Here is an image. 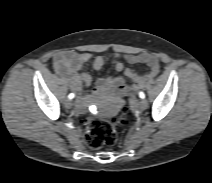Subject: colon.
Listing matches in <instances>:
<instances>
[{"label": "colon", "instance_id": "1", "mask_svg": "<svg viewBox=\"0 0 212 183\" xmlns=\"http://www.w3.org/2000/svg\"><path fill=\"white\" fill-rule=\"evenodd\" d=\"M127 113L123 112L113 121H108L99 117H91L83 120L86 126L85 141L92 149H99L104 146H113L121 139L118 132L120 125L127 123Z\"/></svg>", "mask_w": 212, "mask_h": 183}]
</instances>
